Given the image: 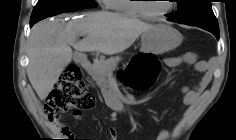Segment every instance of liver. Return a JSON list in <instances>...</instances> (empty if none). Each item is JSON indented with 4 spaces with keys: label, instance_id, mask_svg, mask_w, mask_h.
<instances>
[{
    "label": "liver",
    "instance_id": "liver-1",
    "mask_svg": "<svg viewBox=\"0 0 236 140\" xmlns=\"http://www.w3.org/2000/svg\"><path fill=\"white\" fill-rule=\"evenodd\" d=\"M154 25L117 13L94 12L73 23L40 21L28 41V79L40 100H45L59 76L72 60L71 45L79 52L114 55L128 49ZM78 36H85L76 41Z\"/></svg>",
    "mask_w": 236,
    "mask_h": 140
}]
</instances>
